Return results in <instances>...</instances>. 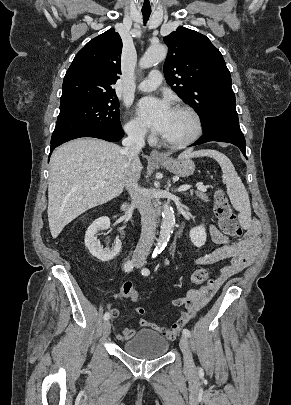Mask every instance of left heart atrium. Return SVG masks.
I'll return each instance as SVG.
<instances>
[{"label": "left heart atrium", "mask_w": 291, "mask_h": 405, "mask_svg": "<svg viewBox=\"0 0 291 405\" xmlns=\"http://www.w3.org/2000/svg\"><path fill=\"white\" fill-rule=\"evenodd\" d=\"M136 111L144 124L162 134L169 124L173 108L166 100L146 97L140 100Z\"/></svg>", "instance_id": "1"}]
</instances>
